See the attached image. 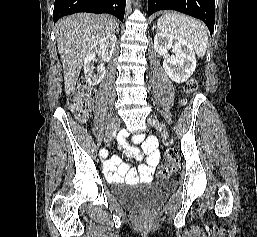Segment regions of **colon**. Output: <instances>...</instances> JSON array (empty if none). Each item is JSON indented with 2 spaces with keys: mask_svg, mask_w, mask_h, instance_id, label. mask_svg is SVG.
<instances>
[{
  "mask_svg": "<svg viewBox=\"0 0 257 237\" xmlns=\"http://www.w3.org/2000/svg\"><path fill=\"white\" fill-rule=\"evenodd\" d=\"M198 88V83L194 80L189 81L185 87V92L191 94ZM93 96L92 89L84 82L78 83L76 89L72 93L69 100L70 110L79 119L85 118L91 108V100ZM178 165V156L175 151L169 150L166 154V163L158 169V176L168 178L174 172Z\"/></svg>",
  "mask_w": 257,
  "mask_h": 237,
  "instance_id": "colon-1",
  "label": "colon"
}]
</instances>
